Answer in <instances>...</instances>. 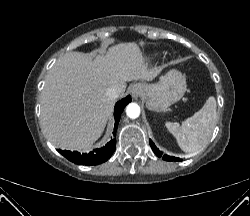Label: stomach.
Returning <instances> with one entry per match:
<instances>
[{"instance_id": "1", "label": "stomach", "mask_w": 250, "mask_h": 216, "mask_svg": "<svg viewBox=\"0 0 250 216\" xmlns=\"http://www.w3.org/2000/svg\"><path fill=\"white\" fill-rule=\"evenodd\" d=\"M141 94L149 110L161 112L179 101L186 91V79L176 69L168 71L155 84L143 83Z\"/></svg>"}]
</instances>
